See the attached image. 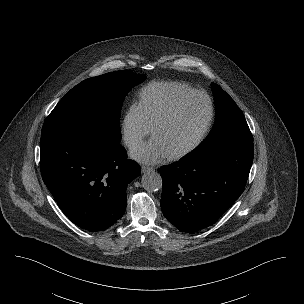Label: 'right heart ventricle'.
<instances>
[{
  "label": "right heart ventricle",
  "instance_id": "e07e8e85",
  "mask_svg": "<svg viewBox=\"0 0 304 304\" xmlns=\"http://www.w3.org/2000/svg\"><path fill=\"white\" fill-rule=\"evenodd\" d=\"M191 91V87L177 82L151 83L141 89L137 103L152 128L154 122L176 99Z\"/></svg>",
  "mask_w": 304,
  "mask_h": 304
}]
</instances>
